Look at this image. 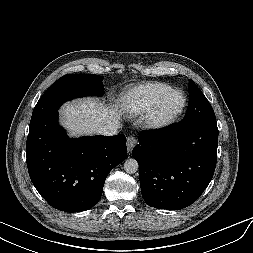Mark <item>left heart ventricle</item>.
Segmentation results:
<instances>
[{
    "label": "left heart ventricle",
    "mask_w": 253,
    "mask_h": 253,
    "mask_svg": "<svg viewBox=\"0 0 253 253\" xmlns=\"http://www.w3.org/2000/svg\"><path fill=\"white\" fill-rule=\"evenodd\" d=\"M182 103V97L179 93L170 95L162 104L160 113L162 116H168L176 112Z\"/></svg>",
    "instance_id": "obj_1"
}]
</instances>
